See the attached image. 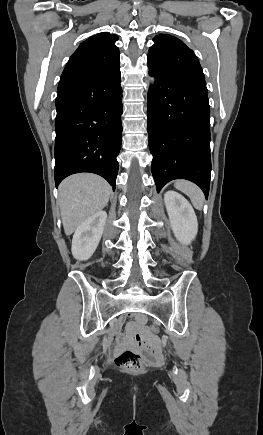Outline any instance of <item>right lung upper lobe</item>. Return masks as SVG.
<instances>
[{
	"label": "right lung upper lobe",
	"mask_w": 263,
	"mask_h": 435,
	"mask_svg": "<svg viewBox=\"0 0 263 435\" xmlns=\"http://www.w3.org/2000/svg\"><path fill=\"white\" fill-rule=\"evenodd\" d=\"M117 35L99 33L82 42L70 57L58 88L104 76L120 67Z\"/></svg>",
	"instance_id": "cb5924a9"
}]
</instances>
